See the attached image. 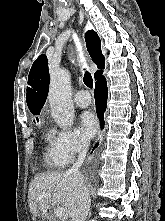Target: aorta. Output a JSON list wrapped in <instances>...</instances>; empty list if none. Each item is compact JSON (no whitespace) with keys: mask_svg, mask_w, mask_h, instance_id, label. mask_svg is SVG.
I'll use <instances>...</instances> for the list:
<instances>
[{"mask_svg":"<svg viewBox=\"0 0 165 221\" xmlns=\"http://www.w3.org/2000/svg\"><path fill=\"white\" fill-rule=\"evenodd\" d=\"M48 100L55 122L63 129L70 128L74 119V107L71 101L70 75L66 70H60L51 76Z\"/></svg>","mask_w":165,"mask_h":221,"instance_id":"obj_1","label":"aorta"}]
</instances>
